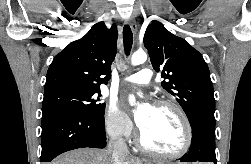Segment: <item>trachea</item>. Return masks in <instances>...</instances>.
Returning <instances> with one entry per match:
<instances>
[{
	"mask_svg": "<svg viewBox=\"0 0 251 164\" xmlns=\"http://www.w3.org/2000/svg\"><path fill=\"white\" fill-rule=\"evenodd\" d=\"M123 42H124L125 53L128 56L130 54L133 44V34L131 28L128 25H125L123 28Z\"/></svg>",
	"mask_w": 251,
	"mask_h": 164,
	"instance_id": "obj_1",
	"label": "trachea"
}]
</instances>
